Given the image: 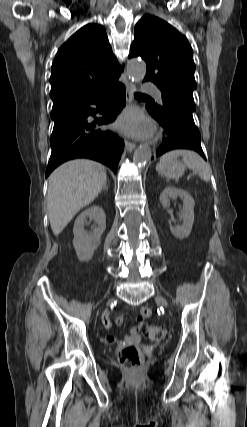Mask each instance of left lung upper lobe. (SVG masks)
<instances>
[{
    "instance_id": "5c2ea615",
    "label": "left lung upper lobe",
    "mask_w": 247,
    "mask_h": 427,
    "mask_svg": "<svg viewBox=\"0 0 247 427\" xmlns=\"http://www.w3.org/2000/svg\"><path fill=\"white\" fill-rule=\"evenodd\" d=\"M137 56L147 65L145 81H152L161 90L163 107L173 105L190 113L195 111L193 50L184 35L164 20L144 15L135 26L129 58Z\"/></svg>"
}]
</instances>
